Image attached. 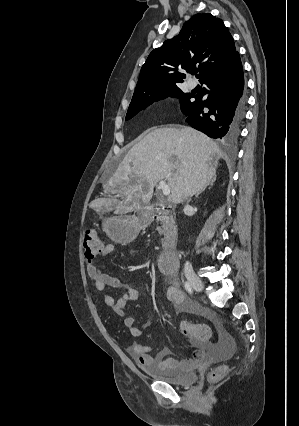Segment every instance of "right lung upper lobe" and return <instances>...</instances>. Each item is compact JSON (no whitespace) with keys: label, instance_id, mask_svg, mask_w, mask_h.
<instances>
[{"label":"right lung upper lobe","instance_id":"cb5924a9","mask_svg":"<svg viewBox=\"0 0 299 426\" xmlns=\"http://www.w3.org/2000/svg\"><path fill=\"white\" fill-rule=\"evenodd\" d=\"M237 54L234 40L220 19L210 13L195 14L180 33L154 49L141 68L132 101L177 87L198 65L200 81L225 66Z\"/></svg>","mask_w":299,"mask_h":426}]
</instances>
